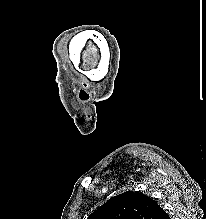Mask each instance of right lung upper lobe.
Instances as JSON below:
<instances>
[{
  "label": "right lung upper lobe",
  "mask_w": 206,
  "mask_h": 219,
  "mask_svg": "<svg viewBox=\"0 0 206 219\" xmlns=\"http://www.w3.org/2000/svg\"><path fill=\"white\" fill-rule=\"evenodd\" d=\"M88 219H170L156 201L140 192L127 191L110 198Z\"/></svg>",
  "instance_id": "cb5924a9"
}]
</instances>
